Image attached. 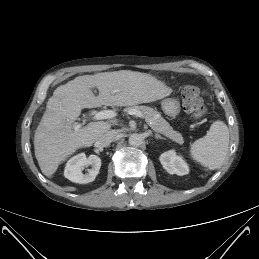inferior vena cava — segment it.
<instances>
[{"instance_id": "obj_1", "label": "inferior vena cava", "mask_w": 259, "mask_h": 259, "mask_svg": "<svg viewBox=\"0 0 259 259\" xmlns=\"http://www.w3.org/2000/svg\"><path fill=\"white\" fill-rule=\"evenodd\" d=\"M117 132L115 130H111L103 134L96 142L95 145L97 147H107L114 140Z\"/></svg>"}]
</instances>
